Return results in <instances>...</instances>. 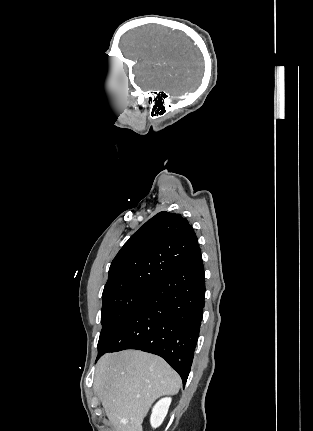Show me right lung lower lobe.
<instances>
[{"label":"right lung lower lobe","instance_id":"obj_1","mask_svg":"<svg viewBox=\"0 0 313 431\" xmlns=\"http://www.w3.org/2000/svg\"><path fill=\"white\" fill-rule=\"evenodd\" d=\"M205 275L200 247L159 283L98 350L138 349L164 358L185 385L203 317Z\"/></svg>","mask_w":313,"mask_h":431}]
</instances>
